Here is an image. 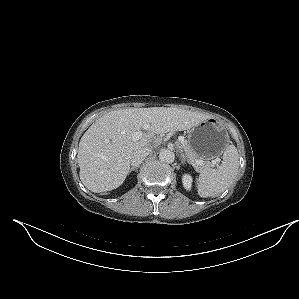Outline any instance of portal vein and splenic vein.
I'll use <instances>...</instances> for the list:
<instances>
[{
    "instance_id": "1",
    "label": "portal vein and splenic vein",
    "mask_w": 299,
    "mask_h": 299,
    "mask_svg": "<svg viewBox=\"0 0 299 299\" xmlns=\"http://www.w3.org/2000/svg\"><path fill=\"white\" fill-rule=\"evenodd\" d=\"M142 135H143V132H142V131H136V132L133 133V135H132V139H133L134 141H137V140H139V138H140ZM179 141H180L182 144L185 143V140H184L183 138H182V139H179ZM203 163H204V161H202V160H197L194 164H196V165H203ZM212 164H216V161H212Z\"/></svg>"
}]
</instances>
